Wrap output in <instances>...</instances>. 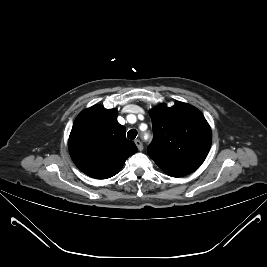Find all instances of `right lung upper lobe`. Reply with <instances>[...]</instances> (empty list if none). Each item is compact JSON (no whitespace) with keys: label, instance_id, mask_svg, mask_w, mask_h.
Returning a JSON list of instances; mask_svg holds the SVG:
<instances>
[{"label":"right lung upper lobe","instance_id":"cb5924a9","mask_svg":"<svg viewBox=\"0 0 267 267\" xmlns=\"http://www.w3.org/2000/svg\"><path fill=\"white\" fill-rule=\"evenodd\" d=\"M116 109L99 105L82 111L74 121L69 152L75 165L86 175L106 179L116 175L126 159L137 152L126 129L117 121Z\"/></svg>","mask_w":267,"mask_h":267}]
</instances>
